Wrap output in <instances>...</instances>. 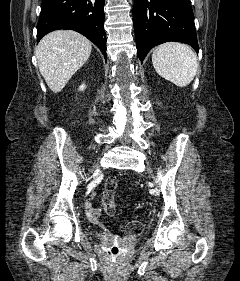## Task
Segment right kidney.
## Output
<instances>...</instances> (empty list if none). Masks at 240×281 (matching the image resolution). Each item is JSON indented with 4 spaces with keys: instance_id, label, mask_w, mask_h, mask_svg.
Listing matches in <instances>:
<instances>
[{
    "instance_id": "right-kidney-1",
    "label": "right kidney",
    "mask_w": 240,
    "mask_h": 281,
    "mask_svg": "<svg viewBox=\"0 0 240 281\" xmlns=\"http://www.w3.org/2000/svg\"><path fill=\"white\" fill-rule=\"evenodd\" d=\"M84 88H85V85H81V86L79 87V90L83 91Z\"/></svg>"
}]
</instances>
